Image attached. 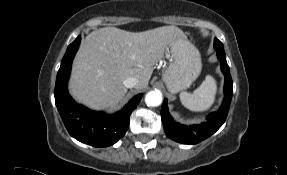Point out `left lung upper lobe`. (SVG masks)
Wrapping results in <instances>:
<instances>
[{
  "label": "left lung upper lobe",
  "mask_w": 287,
  "mask_h": 175,
  "mask_svg": "<svg viewBox=\"0 0 287 175\" xmlns=\"http://www.w3.org/2000/svg\"><path fill=\"white\" fill-rule=\"evenodd\" d=\"M214 48L217 50H223V44L217 38L214 40Z\"/></svg>",
  "instance_id": "left-lung-upper-lobe-1"
}]
</instances>
